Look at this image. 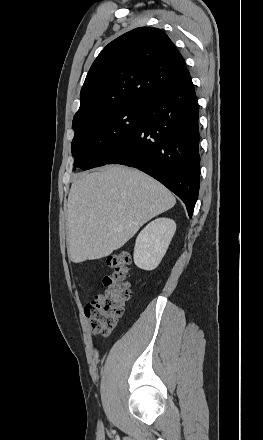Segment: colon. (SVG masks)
<instances>
[{
	"mask_svg": "<svg viewBox=\"0 0 263 440\" xmlns=\"http://www.w3.org/2000/svg\"><path fill=\"white\" fill-rule=\"evenodd\" d=\"M130 263L131 258L127 253L111 254L108 265L112 273L103 277L102 291L86 306L85 314L90 328L97 335L108 337L123 315L125 302L130 297L127 281Z\"/></svg>",
	"mask_w": 263,
	"mask_h": 440,
	"instance_id": "1",
	"label": "colon"
}]
</instances>
